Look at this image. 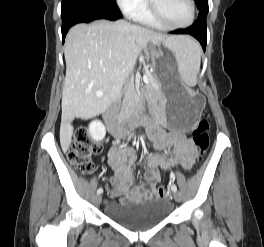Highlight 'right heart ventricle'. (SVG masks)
Here are the masks:
<instances>
[{
  "instance_id": "e07e8e85",
  "label": "right heart ventricle",
  "mask_w": 264,
  "mask_h": 247,
  "mask_svg": "<svg viewBox=\"0 0 264 247\" xmlns=\"http://www.w3.org/2000/svg\"><path fill=\"white\" fill-rule=\"evenodd\" d=\"M134 19L144 25L153 27V28H160L161 26L151 17L147 6H144L140 10H138L134 15Z\"/></svg>"
}]
</instances>
